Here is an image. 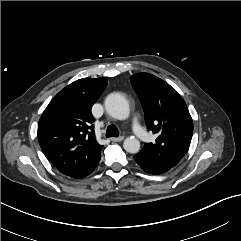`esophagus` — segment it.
Wrapping results in <instances>:
<instances>
[{
    "instance_id": "34e87169",
    "label": "esophagus",
    "mask_w": 241,
    "mask_h": 241,
    "mask_svg": "<svg viewBox=\"0 0 241 241\" xmlns=\"http://www.w3.org/2000/svg\"><path fill=\"white\" fill-rule=\"evenodd\" d=\"M123 140H124L123 136L111 138V141H113V142H120V141H123Z\"/></svg>"
}]
</instances>
